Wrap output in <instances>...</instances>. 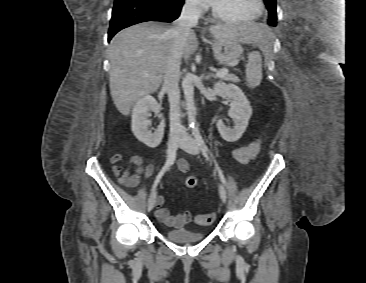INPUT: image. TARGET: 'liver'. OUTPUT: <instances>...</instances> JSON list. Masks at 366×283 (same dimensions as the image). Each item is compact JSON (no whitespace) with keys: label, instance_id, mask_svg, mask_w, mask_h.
Here are the masks:
<instances>
[{"label":"liver","instance_id":"liver-1","mask_svg":"<svg viewBox=\"0 0 366 283\" xmlns=\"http://www.w3.org/2000/svg\"><path fill=\"white\" fill-rule=\"evenodd\" d=\"M171 26L149 21L117 33L108 51L111 64L109 86L116 108L128 115L141 97L157 91L164 78L167 57L173 39ZM213 37H226L241 43H255L263 48L270 30L254 23L220 24L209 28ZM198 41L194 31L186 37L182 50L185 61L196 52Z\"/></svg>","mask_w":366,"mask_h":283}]
</instances>
